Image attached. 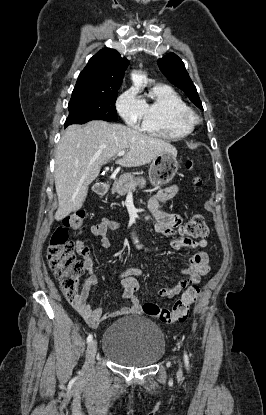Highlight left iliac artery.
Returning <instances> with one entry per match:
<instances>
[{
  "mask_svg": "<svg viewBox=\"0 0 266 415\" xmlns=\"http://www.w3.org/2000/svg\"><path fill=\"white\" fill-rule=\"evenodd\" d=\"M184 360H185L186 366L188 367V365H189V359H188L187 353L184 354Z\"/></svg>",
  "mask_w": 266,
  "mask_h": 415,
  "instance_id": "1",
  "label": "left iliac artery"
}]
</instances>
